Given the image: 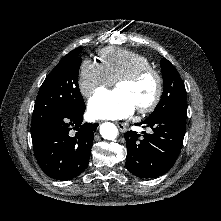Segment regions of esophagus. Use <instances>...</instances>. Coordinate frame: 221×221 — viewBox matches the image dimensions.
<instances>
[{"mask_svg":"<svg viewBox=\"0 0 221 221\" xmlns=\"http://www.w3.org/2000/svg\"><path fill=\"white\" fill-rule=\"evenodd\" d=\"M116 125L122 133H125L127 131V128L123 123H116Z\"/></svg>","mask_w":221,"mask_h":221,"instance_id":"34e87169","label":"esophagus"}]
</instances>
